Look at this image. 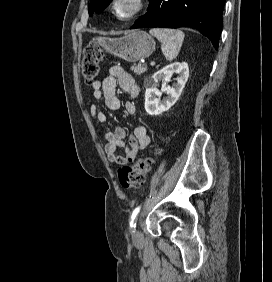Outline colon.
I'll list each match as a JSON object with an SVG mask.
<instances>
[{"mask_svg": "<svg viewBox=\"0 0 272 282\" xmlns=\"http://www.w3.org/2000/svg\"><path fill=\"white\" fill-rule=\"evenodd\" d=\"M105 53L102 44L97 40H92L84 49L81 60L82 76L87 84L95 82L99 73V64L104 60ZM159 150H155L153 155L140 159L131 167H121L118 170L119 182L124 189H134L141 187L148 172L154 163L155 155Z\"/></svg>", "mask_w": 272, "mask_h": 282, "instance_id": "obj_1", "label": "colon"}]
</instances>
